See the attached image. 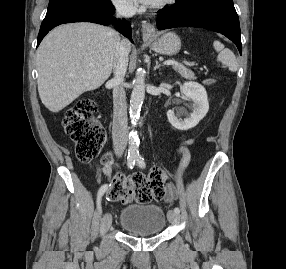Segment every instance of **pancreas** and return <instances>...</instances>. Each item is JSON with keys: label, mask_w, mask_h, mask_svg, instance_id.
<instances>
[{"label": "pancreas", "mask_w": 286, "mask_h": 269, "mask_svg": "<svg viewBox=\"0 0 286 269\" xmlns=\"http://www.w3.org/2000/svg\"><path fill=\"white\" fill-rule=\"evenodd\" d=\"M174 70L177 71L182 77L185 79H196V76L193 71L187 69L186 67L179 65V66H173Z\"/></svg>", "instance_id": "pancreas-1"}]
</instances>
